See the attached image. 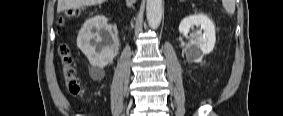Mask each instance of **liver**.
Segmentation results:
<instances>
[{
    "label": "liver",
    "instance_id": "6515ba94",
    "mask_svg": "<svg viewBox=\"0 0 283 116\" xmlns=\"http://www.w3.org/2000/svg\"><path fill=\"white\" fill-rule=\"evenodd\" d=\"M104 0H58L57 12L78 8L83 5H94L102 3Z\"/></svg>",
    "mask_w": 283,
    "mask_h": 116
}]
</instances>
